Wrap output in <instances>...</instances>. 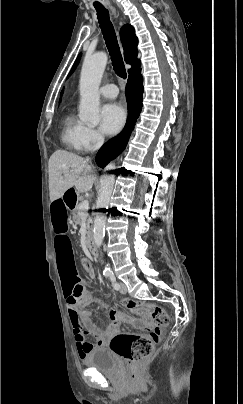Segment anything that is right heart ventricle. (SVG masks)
Returning <instances> with one entry per match:
<instances>
[{"instance_id":"obj_1","label":"right heart ventricle","mask_w":243,"mask_h":404,"mask_svg":"<svg viewBox=\"0 0 243 404\" xmlns=\"http://www.w3.org/2000/svg\"><path fill=\"white\" fill-rule=\"evenodd\" d=\"M82 124L72 113H66L62 118L60 141L62 145L71 151H77L78 135Z\"/></svg>"}]
</instances>
